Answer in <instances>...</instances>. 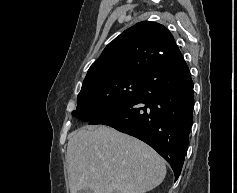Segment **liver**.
Masks as SVG:
<instances>
[{
  "mask_svg": "<svg viewBox=\"0 0 237 193\" xmlns=\"http://www.w3.org/2000/svg\"><path fill=\"white\" fill-rule=\"evenodd\" d=\"M71 193H146L166 176L164 160L147 144L108 126H85L68 141Z\"/></svg>",
  "mask_w": 237,
  "mask_h": 193,
  "instance_id": "6515ba94",
  "label": "liver"
}]
</instances>
